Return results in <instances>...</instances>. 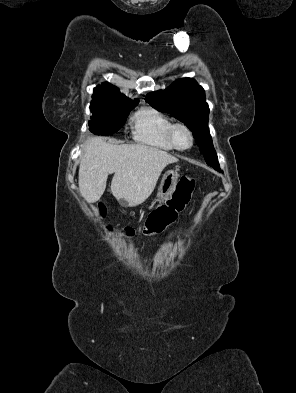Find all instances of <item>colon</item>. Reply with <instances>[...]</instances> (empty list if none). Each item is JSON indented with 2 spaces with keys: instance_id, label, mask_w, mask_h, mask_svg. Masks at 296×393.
Masks as SVG:
<instances>
[{
  "instance_id": "obj_1",
  "label": "colon",
  "mask_w": 296,
  "mask_h": 393,
  "mask_svg": "<svg viewBox=\"0 0 296 393\" xmlns=\"http://www.w3.org/2000/svg\"><path fill=\"white\" fill-rule=\"evenodd\" d=\"M194 186L195 182L192 178L181 176L172 196L149 214L142 228V233L146 236L158 234L172 224L177 218L178 213L188 203ZM123 232L127 236L135 235V230L131 227L125 228Z\"/></svg>"
}]
</instances>
